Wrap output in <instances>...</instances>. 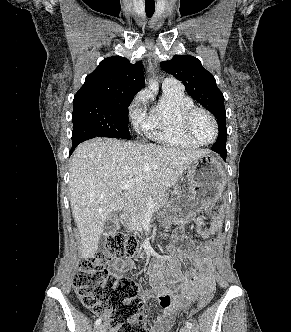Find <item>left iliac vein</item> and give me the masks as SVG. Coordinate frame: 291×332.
<instances>
[{"instance_id": "left-iliac-vein-1", "label": "left iliac vein", "mask_w": 291, "mask_h": 332, "mask_svg": "<svg viewBox=\"0 0 291 332\" xmlns=\"http://www.w3.org/2000/svg\"><path fill=\"white\" fill-rule=\"evenodd\" d=\"M180 332H191L190 328H188L187 326L182 327Z\"/></svg>"}]
</instances>
